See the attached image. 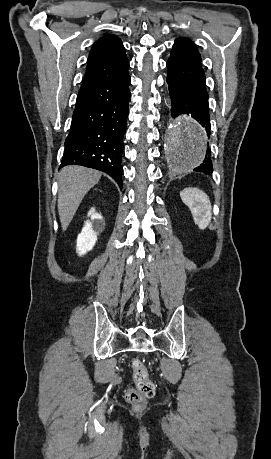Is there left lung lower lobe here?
Segmentation results:
<instances>
[{
    "label": "left lung lower lobe",
    "instance_id": "left-lung-lower-lobe-1",
    "mask_svg": "<svg viewBox=\"0 0 271 459\" xmlns=\"http://www.w3.org/2000/svg\"><path fill=\"white\" fill-rule=\"evenodd\" d=\"M167 83L172 99V116L191 114L205 128L210 137V117L208 93L206 91L205 72L201 66L172 60L167 61ZM194 171L211 174L212 162L207 149L203 163Z\"/></svg>",
    "mask_w": 271,
    "mask_h": 459
}]
</instances>
